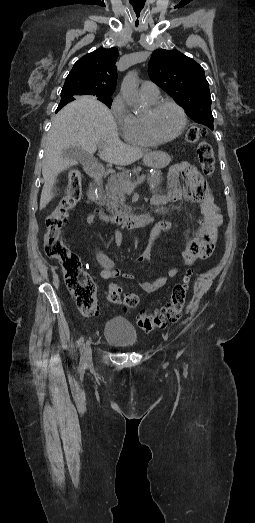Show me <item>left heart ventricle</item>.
Masks as SVG:
<instances>
[{
	"label": "left heart ventricle",
	"mask_w": 255,
	"mask_h": 523,
	"mask_svg": "<svg viewBox=\"0 0 255 523\" xmlns=\"http://www.w3.org/2000/svg\"><path fill=\"white\" fill-rule=\"evenodd\" d=\"M151 123L157 136L167 138L174 135L179 130L181 117L174 107L164 106L153 114Z\"/></svg>",
	"instance_id": "obj_1"
}]
</instances>
